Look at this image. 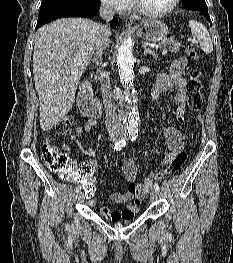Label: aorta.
Wrapping results in <instances>:
<instances>
[{"mask_svg": "<svg viewBox=\"0 0 233 263\" xmlns=\"http://www.w3.org/2000/svg\"><path fill=\"white\" fill-rule=\"evenodd\" d=\"M133 62L132 43L130 40H126L118 49L117 65L121 81L129 88L132 86L134 80ZM126 114L128 130L133 132L138 131V113L136 109L129 107Z\"/></svg>", "mask_w": 233, "mask_h": 263, "instance_id": "762f6f07", "label": "aorta"}]
</instances>
